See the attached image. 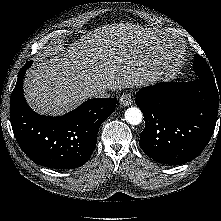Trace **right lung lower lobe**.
Wrapping results in <instances>:
<instances>
[{"instance_id": "98d812e1", "label": "right lung lower lobe", "mask_w": 221, "mask_h": 221, "mask_svg": "<svg viewBox=\"0 0 221 221\" xmlns=\"http://www.w3.org/2000/svg\"><path fill=\"white\" fill-rule=\"evenodd\" d=\"M31 63L20 70L10 98L15 138L38 165L54 169L80 167L89 160L99 127L113 113L117 98L91 99L60 117L39 115L28 106L23 94L24 75Z\"/></svg>"}]
</instances>
